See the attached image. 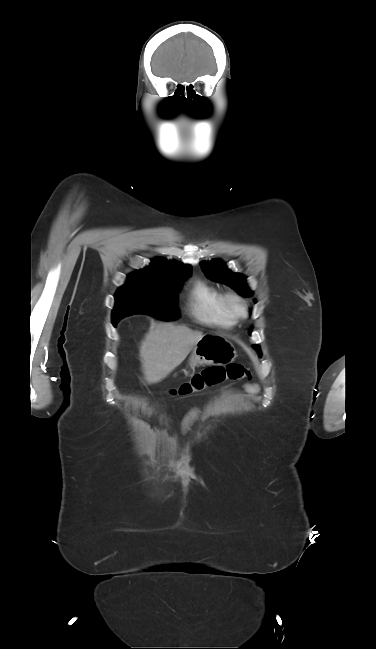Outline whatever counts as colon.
Returning <instances> with one entry per match:
<instances>
[{
	"mask_svg": "<svg viewBox=\"0 0 376 649\" xmlns=\"http://www.w3.org/2000/svg\"><path fill=\"white\" fill-rule=\"evenodd\" d=\"M250 377L248 368L240 363L210 366L193 374L188 380L171 389L170 393L177 397H187L226 380L238 381Z\"/></svg>",
	"mask_w": 376,
	"mask_h": 649,
	"instance_id": "5ec220e1",
	"label": "colon"
}]
</instances>
